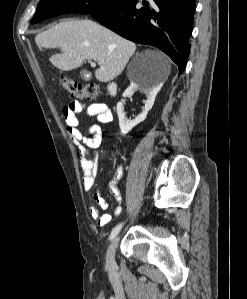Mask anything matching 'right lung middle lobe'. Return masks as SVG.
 Masks as SVG:
<instances>
[{"label": "right lung middle lobe", "mask_w": 247, "mask_h": 299, "mask_svg": "<svg viewBox=\"0 0 247 299\" xmlns=\"http://www.w3.org/2000/svg\"><path fill=\"white\" fill-rule=\"evenodd\" d=\"M122 0H41L31 24L68 13L91 14Z\"/></svg>", "instance_id": "1"}]
</instances>
